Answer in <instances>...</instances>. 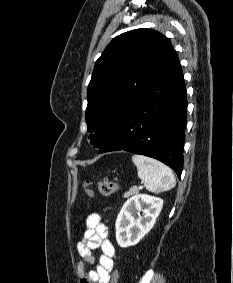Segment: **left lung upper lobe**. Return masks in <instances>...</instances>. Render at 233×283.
<instances>
[{"instance_id":"5c2ea615","label":"left lung upper lobe","mask_w":233,"mask_h":283,"mask_svg":"<svg viewBox=\"0 0 233 283\" xmlns=\"http://www.w3.org/2000/svg\"><path fill=\"white\" fill-rule=\"evenodd\" d=\"M172 51L170 41L151 29L125 32L109 43L87 90L86 123L94 147L102 149L113 139L150 76Z\"/></svg>"}]
</instances>
